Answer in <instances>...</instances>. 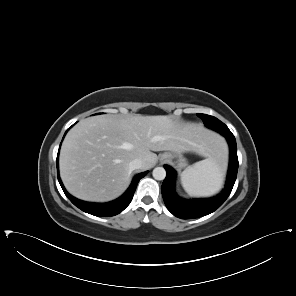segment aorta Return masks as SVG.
<instances>
[{"label": "aorta", "mask_w": 296, "mask_h": 296, "mask_svg": "<svg viewBox=\"0 0 296 296\" xmlns=\"http://www.w3.org/2000/svg\"><path fill=\"white\" fill-rule=\"evenodd\" d=\"M152 175L156 180H163L166 177V170L163 167H156L153 170Z\"/></svg>", "instance_id": "1"}]
</instances>
